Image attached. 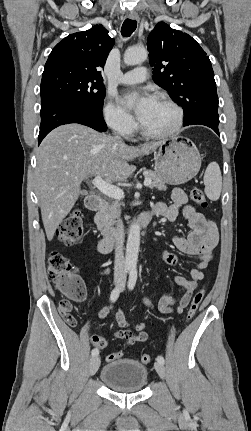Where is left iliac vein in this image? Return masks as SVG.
<instances>
[{
	"label": "left iliac vein",
	"mask_w": 251,
	"mask_h": 431,
	"mask_svg": "<svg viewBox=\"0 0 251 431\" xmlns=\"http://www.w3.org/2000/svg\"><path fill=\"white\" fill-rule=\"evenodd\" d=\"M155 370L157 371V373L159 374V376L164 379L165 378V367L162 363L160 362H155L154 364Z\"/></svg>",
	"instance_id": "1"
}]
</instances>
